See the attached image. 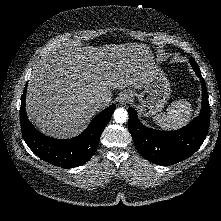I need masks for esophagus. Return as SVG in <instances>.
<instances>
[{
  "instance_id": "34e87169",
  "label": "esophagus",
  "mask_w": 221,
  "mask_h": 221,
  "mask_svg": "<svg viewBox=\"0 0 221 221\" xmlns=\"http://www.w3.org/2000/svg\"><path fill=\"white\" fill-rule=\"evenodd\" d=\"M131 99V93L130 92H124L120 96V104L124 105Z\"/></svg>"
}]
</instances>
